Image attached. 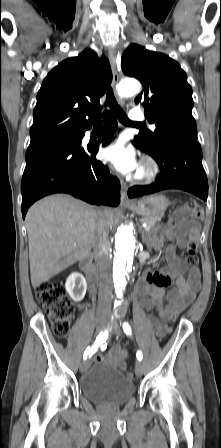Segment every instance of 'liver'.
<instances>
[{
	"instance_id": "6515ba94",
	"label": "liver",
	"mask_w": 221,
	"mask_h": 448,
	"mask_svg": "<svg viewBox=\"0 0 221 448\" xmlns=\"http://www.w3.org/2000/svg\"><path fill=\"white\" fill-rule=\"evenodd\" d=\"M97 208L69 195H51L33 204L26 215L30 275L39 287L64 269L84 259L93 246ZM108 227L114 211L104 210Z\"/></svg>"
}]
</instances>
